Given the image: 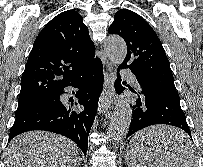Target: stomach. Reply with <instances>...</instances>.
Here are the masks:
<instances>
[{
  "mask_svg": "<svg viewBox=\"0 0 203 167\" xmlns=\"http://www.w3.org/2000/svg\"><path fill=\"white\" fill-rule=\"evenodd\" d=\"M130 159V156H129V151L127 150V153H126V160Z\"/></svg>",
  "mask_w": 203,
  "mask_h": 167,
  "instance_id": "0dacf381",
  "label": "stomach"
}]
</instances>
